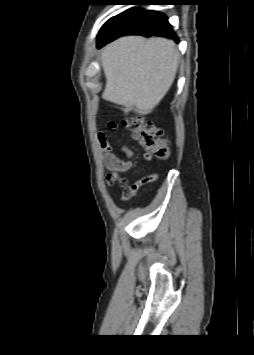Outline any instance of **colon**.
Listing matches in <instances>:
<instances>
[{
    "label": "colon",
    "mask_w": 254,
    "mask_h": 355,
    "mask_svg": "<svg viewBox=\"0 0 254 355\" xmlns=\"http://www.w3.org/2000/svg\"><path fill=\"white\" fill-rule=\"evenodd\" d=\"M122 123L130 131L132 138L143 147L146 157L161 160L170 157L168 141L155 124L140 117H128Z\"/></svg>",
    "instance_id": "1"
}]
</instances>
